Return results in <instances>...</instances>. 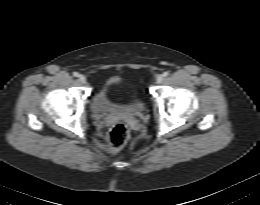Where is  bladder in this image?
<instances>
[{"mask_svg": "<svg viewBox=\"0 0 260 205\" xmlns=\"http://www.w3.org/2000/svg\"><path fill=\"white\" fill-rule=\"evenodd\" d=\"M121 83L119 77H111L102 82L96 89L91 103L92 112L99 116H110L119 113L139 114L144 109V104L140 99L127 103H116L109 95L111 88Z\"/></svg>", "mask_w": 260, "mask_h": 205, "instance_id": "bladder-1", "label": "bladder"}]
</instances>
